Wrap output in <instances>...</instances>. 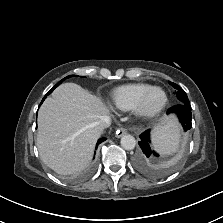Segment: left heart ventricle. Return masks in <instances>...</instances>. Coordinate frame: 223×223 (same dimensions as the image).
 I'll use <instances>...</instances> for the list:
<instances>
[{"mask_svg":"<svg viewBox=\"0 0 223 223\" xmlns=\"http://www.w3.org/2000/svg\"><path fill=\"white\" fill-rule=\"evenodd\" d=\"M164 101V94L157 90L150 94L146 101L145 108L147 111H154L161 106Z\"/></svg>","mask_w":223,"mask_h":223,"instance_id":"obj_1","label":"left heart ventricle"}]
</instances>
